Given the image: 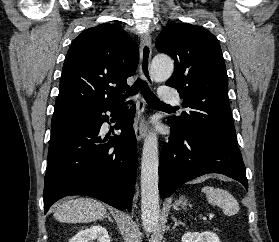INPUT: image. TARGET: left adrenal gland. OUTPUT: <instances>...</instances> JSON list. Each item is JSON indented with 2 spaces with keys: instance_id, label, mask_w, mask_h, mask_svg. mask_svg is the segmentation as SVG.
Wrapping results in <instances>:
<instances>
[{
  "instance_id": "left-adrenal-gland-1",
  "label": "left adrenal gland",
  "mask_w": 279,
  "mask_h": 242,
  "mask_svg": "<svg viewBox=\"0 0 279 242\" xmlns=\"http://www.w3.org/2000/svg\"><path fill=\"white\" fill-rule=\"evenodd\" d=\"M172 220L174 221L173 229L176 228V226H178V225L185 226V224L182 223L181 221H177V219L175 217H172Z\"/></svg>"
}]
</instances>
